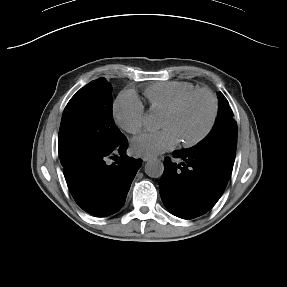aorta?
I'll return each instance as SVG.
<instances>
[{
	"mask_svg": "<svg viewBox=\"0 0 287 287\" xmlns=\"http://www.w3.org/2000/svg\"><path fill=\"white\" fill-rule=\"evenodd\" d=\"M164 172V165L160 160H150L145 164V173L151 178H159Z\"/></svg>",
	"mask_w": 287,
	"mask_h": 287,
	"instance_id": "aorta-1",
	"label": "aorta"
}]
</instances>
